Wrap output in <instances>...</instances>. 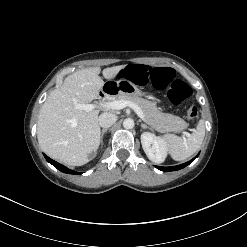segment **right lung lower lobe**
<instances>
[{
  "label": "right lung lower lobe",
  "mask_w": 247,
  "mask_h": 247,
  "mask_svg": "<svg viewBox=\"0 0 247 247\" xmlns=\"http://www.w3.org/2000/svg\"><path fill=\"white\" fill-rule=\"evenodd\" d=\"M44 157L46 158V160L52 164L53 166H55L58 170L64 172V173H68V174H81L80 172H76V171H73V170H70L68 169L67 167L63 166L62 164H59L58 162L56 161H53L52 159H50L48 156H46L44 154Z\"/></svg>",
  "instance_id": "98d812e1"
}]
</instances>
